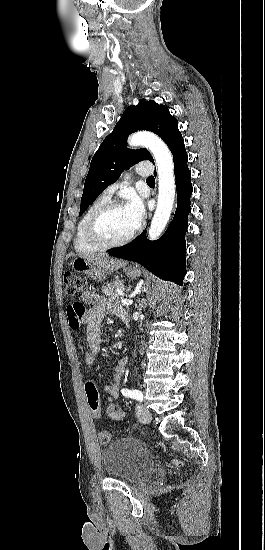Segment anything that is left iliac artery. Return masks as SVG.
Listing matches in <instances>:
<instances>
[{
	"mask_svg": "<svg viewBox=\"0 0 265 550\" xmlns=\"http://www.w3.org/2000/svg\"><path fill=\"white\" fill-rule=\"evenodd\" d=\"M121 392L125 397L133 398V399H136L138 401L143 400V394L139 390H136V389L135 390L122 389Z\"/></svg>",
	"mask_w": 265,
	"mask_h": 550,
	"instance_id": "obj_1",
	"label": "left iliac artery"
}]
</instances>
